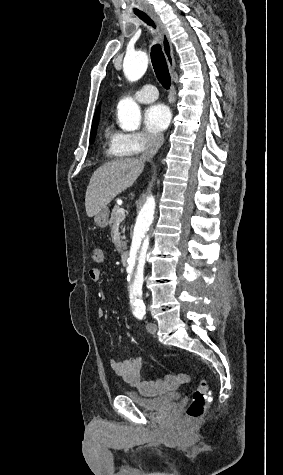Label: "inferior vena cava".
Instances as JSON below:
<instances>
[{
    "label": "inferior vena cava",
    "mask_w": 283,
    "mask_h": 475,
    "mask_svg": "<svg viewBox=\"0 0 283 475\" xmlns=\"http://www.w3.org/2000/svg\"><path fill=\"white\" fill-rule=\"evenodd\" d=\"M164 144V134L162 132H148L147 134V146L144 154L141 156V160H147L150 162L151 158L156 156L159 148Z\"/></svg>",
    "instance_id": "1"
}]
</instances>
